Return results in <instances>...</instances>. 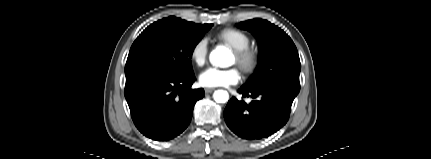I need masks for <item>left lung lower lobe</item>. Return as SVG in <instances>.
Returning a JSON list of instances; mask_svg holds the SVG:
<instances>
[{"instance_id":"obj_1","label":"left lung lower lobe","mask_w":431,"mask_h":159,"mask_svg":"<svg viewBox=\"0 0 431 159\" xmlns=\"http://www.w3.org/2000/svg\"><path fill=\"white\" fill-rule=\"evenodd\" d=\"M300 84L279 79L258 87L242 86L238 92L252 101L246 103L232 97L224 110V119L231 131L247 140L268 137L288 121L291 105Z\"/></svg>"}]
</instances>
